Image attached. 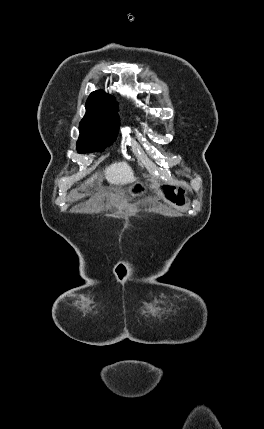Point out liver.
Segmentation results:
<instances>
[{
  "mask_svg": "<svg viewBox=\"0 0 264 429\" xmlns=\"http://www.w3.org/2000/svg\"><path fill=\"white\" fill-rule=\"evenodd\" d=\"M104 175L110 184H128L136 180L132 168L126 162H118L106 167ZM93 180L94 177L87 183Z\"/></svg>",
  "mask_w": 264,
  "mask_h": 429,
  "instance_id": "1",
  "label": "liver"
}]
</instances>
